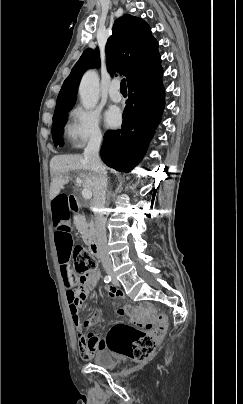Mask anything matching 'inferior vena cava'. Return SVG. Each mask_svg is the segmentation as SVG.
I'll return each mask as SVG.
<instances>
[{"label":"inferior vena cava","mask_w":243,"mask_h":404,"mask_svg":"<svg viewBox=\"0 0 243 404\" xmlns=\"http://www.w3.org/2000/svg\"><path fill=\"white\" fill-rule=\"evenodd\" d=\"M102 136L94 134L91 136L87 148L84 150L85 160H89L93 180V212L95 216V234L98 254L107 273L113 272L107 250L106 220L105 212V190L107 186V172L99 158V148Z\"/></svg>","instance_id":"inferior-vena-cava-1"}]
</instances>
